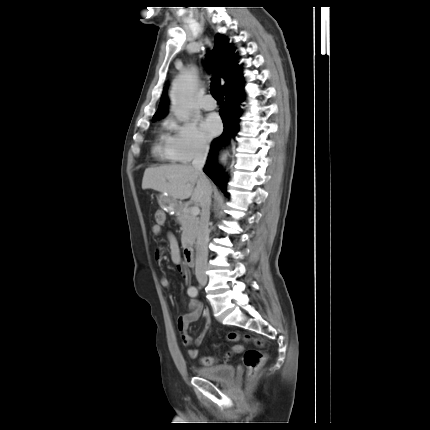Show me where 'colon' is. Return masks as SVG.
<instances>
[{"instance_id":"5ec220e1","label":"colon","mask_w":430,"mask_h":430,"mask_svg":"<svg viewBox=\"0 0 430 430\" xmlns=\"http://www.w3.org/2000/svg\"><path fill=\"white\" fill-rule=\"evenodd\" d=\"M155 222L157 225L163 224L165 220V215L161 210H157L154 214ZM242 336L234 331L227 334L226 338L229 342H236L240 340ZM243 339L247 342L253 341L256 346H261V341L257 338L252 337L250 334L243 335ZM241 350L237 349L235 346L233 349L226 354V358L230 357L234 353H239ZM266 359L265 353L260 349H248L243 354V362L247 370V377L253 379L260 368L263 366ZM219 359L217 357L205 356L201 359V363L205 366L215 365Z\"/></svg>"}]
</instances>
